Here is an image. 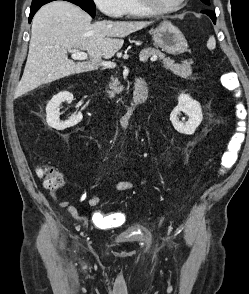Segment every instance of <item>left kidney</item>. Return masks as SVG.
Wrapping results in <instances>:
<instances>
[{
	"label": "left kidney",
	"mask_w": 249,
	"mask_h": 294,
	"mask_svg": "<svg viewBox=\"0 0 249 294\" xmlns=\"http://www.w3.org/2000/svg\"><path fill=\"white\" fill-rule=\"evenodd\" d=\"M183 112L188 121H179V115ZM202 108L198 101L192 99L188 94H180L178 105L170 114V121L176 131L185 135H192L202 122Z\"/></svg>",
	"instance_id": "5707ae66"
}]
</instances>
